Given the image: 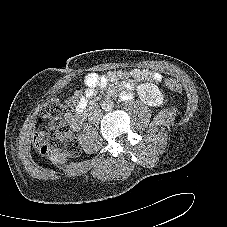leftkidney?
Masks as SVG:
<instances>
[{"label":"left kidney","instance_id":"left-kidney-1","mask_svg":"<svg viewBox=\"0 0 227 227\" xmlns=\"http://www.w3.org/2000/svg\"><path fill=\"white\" fill-rule=\"evenodd\" d=\"M137 93L140 100L148 106H161L164 96L158 86L153 83H144L137 86Z\"/></svg>","mask_w":227,"mask_h":227}]
</instances>
